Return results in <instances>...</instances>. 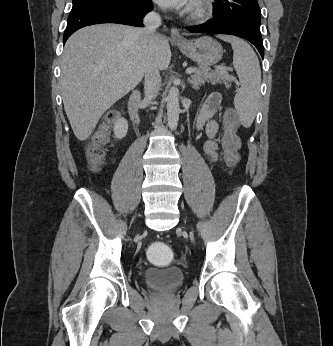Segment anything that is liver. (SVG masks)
Segmentation results:
<instances>
[{"instance_id":"obj_1","label":"liver","mask_w":333,"mask_h":346,"mask_svg":"<svg viewBox=\"0 0 333 346\" xmlns=\"http://www.w3.org/2000/svg\"><path fill=\"white\" fill-rule=\"evenodd\" d=\"M150 52L142 29L117 24L84 27L66 42L60 84L66 115L80 141L91 135L101 116L132 91L144 76ZM158 69L168 68V39L156 35Z\"/></svg>"}]
</instances>
